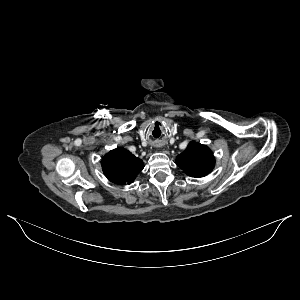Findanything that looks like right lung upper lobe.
Here are the masks:
<instances>
[{"mask_svg": "<svg viewBox=\"0 0 300 300\" xmlns=\"http://www.w3.org/2000/svg\"><path fill=\"white\" fill-rule=\"evenodd\" d=\"M143 161L126 149L111 150L102 159V169L105 176L119 185L130 184L143 169Z\"/></svg>", "mask_w": 300, "mask_h": 300, "instance_id": "right-lung-upper-lobe-1", "label": "right lung upper lobe"}]
</instances>
